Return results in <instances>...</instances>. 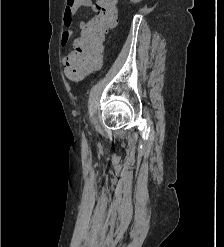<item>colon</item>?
<instances>
[{
    "label": "colon",
    "instance_id": "colon-1",
    "mask_svg": "<svg viewBox=\"0 0 224 247\" xmlns=\"http://www.w3.org/2000/svg\"><path fill=\"white\" fill-rule=\"evenodd\" d=\"M118 0H97V15L86 24L78 39L77 54L66 61L65 73L79 80L98 64L95 55L101 50L105 35L116 26ZM73 0H67L68 7Z\"/></svg>",
    "mask_w": 224,
    "mask_h": 247
}]
</instances>
